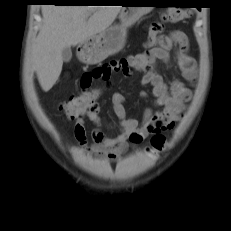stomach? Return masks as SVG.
I'll use <instances>...</instances> for the list:
<instances>
[{"label": "stomach", "mask_w": 231, "mask_h": 231, "mask_svg": "<svg viewBox=\"0 0 231 231\" xmlns=\"http://www.w3.org/2000/svg\"><path fill=\"white\" fill-rule=\"evenodd\" d=\"M130 4H149L150 1L129 0ZM153 7H123L119 19L120 23L108 27L102 33L96 34L82 42L78 57L87 64L100 63L108 56L118 53L126 43L127 30L143 15L149 13Z\"/></svg>", "instance_id": "1"}]
</instances>
